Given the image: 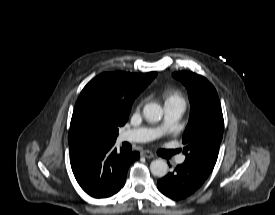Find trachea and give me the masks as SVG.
Listing matches in <instances>:
<instances>
[{"label": "trachea", "mask_w": 275, "mask_h": 215, "mask_svg": "<svg viewBox=\"0 0 275 215\" xmlns=\"http://www.w3.org/2000/svg\"><path fill=\"white\" fill-rule=\"evenodd\" d=\"M169 156L178 153V150H171L167 152Z\"/></svg>", "instance_id": "3493384b"}]
</instances>
